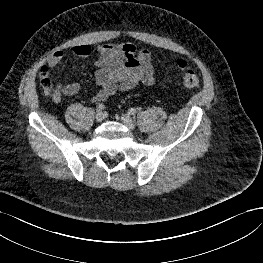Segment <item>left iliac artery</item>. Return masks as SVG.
<instances>
[{"label": "left iliac artery", "mask_w": 263, "mask_h": 263, "mask_svg": "<svg viewBox=\"0 0 263 263\" xmlns=\"http://www.w3.org/2000/svg\"><path fill=\"white\" fill-rule=\"evenodd\" d=\"M129 113L135 114V113H136V109H135V108H130V109H129Z\"/></svg>", "instance_id": "obj_1"}]
</instances>
